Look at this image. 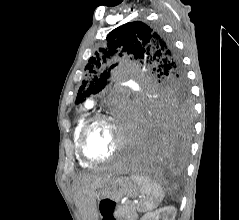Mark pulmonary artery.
<instances>
[{
	"mask_svg": "<svg viewBox=\"0 0 239 220\" xmlns=\"http://www.w3.org/2000/svg\"><path fill=\"white\" fill-rule=\"evenodd\" d=\"M93 100H88L87 102H86V106L87 107H92L93 106Z\"/></svg>",
	"mask_w": 239,
	"mask_h": 220,
	"instance_id": "e3ab8cb5",
	"label": "pulmonary artery"
}]
</instances>
